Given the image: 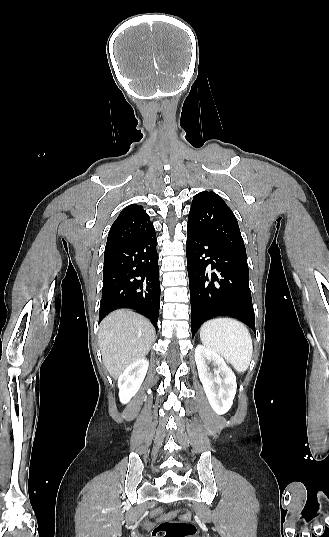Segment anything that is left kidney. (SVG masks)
Returning a JSON list of instances; mask_svg holds the SVG:
<instances>
[{"label":"left kidney","mask_w":329,"mask_h":537,"mask_svg":"<svg viewBox=\"0 0 329 537\" xmlns=\"http://www.w3.org/2000/svg\"><path fill=\"white\" fill-rule=\"evenodd\" d=\"M195 361L210 406L216 414H225L231 408L236 394L235 374L219 354L203 345L196 346ZM210 362L217 367L213 373L208 367Z\"/></svg>","instance_id":"1"}]
</instances>
